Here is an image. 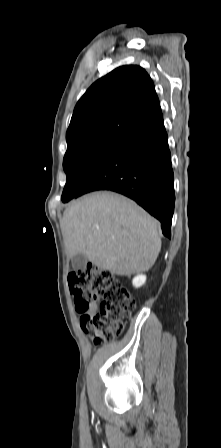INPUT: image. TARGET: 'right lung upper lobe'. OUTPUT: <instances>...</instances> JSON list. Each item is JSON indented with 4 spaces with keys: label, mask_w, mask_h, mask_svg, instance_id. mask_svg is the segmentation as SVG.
I'll return each instance as SVG.
<instances>
[{
    "label": "right lung upper lobe",
    "mask_w": 221,
    "mask_h": 448,
    "mask_svg": "<svg viewBox=\"0 0 221 448\" xmlns=\"http://www.w3.org/2000/svg\"><path fill=\"white\" fill-rule=\"evenodd\" d=\"M159 112V99L147 72L136 65L118 67L92 84L76 104L66 133L67 151L119 140Z\"/></svg>",
    "instance_id": "right-lung-upper-lobe-1"
}]
</instances>
